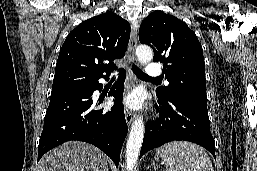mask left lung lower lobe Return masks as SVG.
<instances>
[{"label":"left lung lower lobe","instance_id":"obj_1","mask_svg":"<svg viewBox=\"0 0 257 171\" xmlns=\"http://www.w3.org/2000/svg\"><path fill=\"white\" fill-rule=\"evenodd\" d=\"M159 118L146 124L140 158L149 150L175 140L194 142L215 157L207 102L195 98H158Z\"/></svg>","mask_w":257,"mask_h":171}]
</instances>
